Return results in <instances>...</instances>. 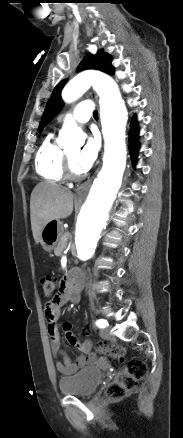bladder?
<instances>
[{"instance_id":"obj_1","label":"bladder","mask_w":183,"mask_h":438,"mask_svg":"<svg viewBox=\"0 0 183 438\" xmlns=\"http://www.w3.org/2000/svg\"><path fill=\"white\" fill-rule=\"evenodd\" d=\"M103 380V373L96 367H86L76 374L59 380L60 393L88 397L95 393Z\"/></svg>"}]
</instances>
